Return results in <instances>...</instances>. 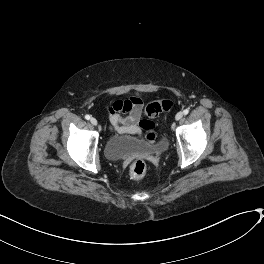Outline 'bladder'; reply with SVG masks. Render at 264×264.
Wrapping results in <instances>:
<instances>
[{
    "mask_svg": "<svg viewBox=\"0 0 264 264\" xmlns=\"http://www.w3.org/2000/svg\"><path fill=\"white\" fill-rule=\"evenodd\" d=\"M168 146L167 137L160 139L138 138L130 134L110 137L104 146V154L109 161H117L132 155H157Z\"/></svg>",
    "mask_w": 264,
    "mask_h": 264,
    "instance_id": "31cf9c89",
    "label": "bladder"
}]
</instances>
